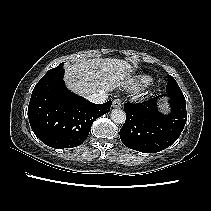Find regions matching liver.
Returning a JSON list of instances; mask_svg holds the SVG:
<instances>
[{"instance_id": "liver-1", "label": "liver", "mask_w": 211, "mask_h": 211, "mask_svg": "<svg viewBox=\"0 0 211 211\" xmlns=\"http://www.w3.org/2000/svg\"><path fill=\"white\" fill-rule=\"evenodd\" d=\"M133 67L116 58L82 59L65 67V83L72 92L86 97L112 91L130 80Z\"/></svg>"}]
</instances>
